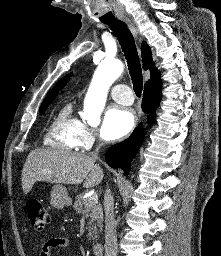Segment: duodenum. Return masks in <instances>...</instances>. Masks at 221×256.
I'll use <instances>...</instances> for the list:
<instances>
[{
	"instance_id": "1",
	"label": "duodenum",
	"mask_w": 221,
	"mask_h": 256,
	"mask_svg": "<svg viewBox=\"0 0 221 256\" xmlns=\"http://www.w3.org/2000/svg\"><path fill=\"white\" fill-rule=\"evenodd\" d=\"M92 250L94 256H103V245L101 243H95Z\"/></svg>"
}]
</instances>
